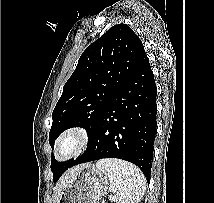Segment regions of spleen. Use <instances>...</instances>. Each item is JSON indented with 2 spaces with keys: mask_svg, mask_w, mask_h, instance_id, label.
<instances>
[{
  "mask_svg": "<svg viewBox=\"0 0 214 203\" xmlns=\"http://www.w3.org/2000/svg\"><path fill=\"white\" fill-rule=\"evenodd\" d=\"M96 167L109 178V191L117 203H139L146 190V179L133 164L117 159H103Z\"/></svg>",
  "mask_w": 214,
  "mask_h": 203,
  "instance_id": "spleen-1",
  "label": "spleen"
}]
</instances>
